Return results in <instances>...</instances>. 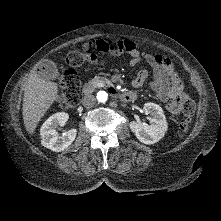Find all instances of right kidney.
<instances>
[{
    "label": "right kidney",
    "mask_w": 221,
    "mask_h": 221,
    "mask_svg": "<svg viewBox=\"0 0 221 221\" xmlns=\"http://www.w3.org/2000/svg\"><path fill=\"white\" fill-rule=\"evenodd\" d=\"M69 118L65 112H59L50 116L40 129L41 143L44 147L61 152L68 148L76 138L77 130L71 129L64 132L61 136L55 130L58 126H64Z\"/></svg>",
    "instance_id": "ca27d5eb"
}]
</instances>
